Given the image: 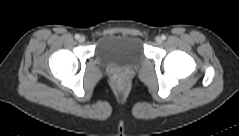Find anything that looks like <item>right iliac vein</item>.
I'll return each mask as SVG.
<instances>
[{
    "mask_svg": "<svg viewBox=\"0 0 239 136\" xmlns=\"http://www.w3.org/2000/svg\"><path fill=\"white\" fill-rule=\"evenodd\" d=\"M79 42H80V43H84V42H85V37H84V36H81V37L79 38Z\"/></svg>",
    "mask_w": 239,
    "mask_h": 136,
    "instance_id": "63e3f726",
    "label": "right iliac vein"
}]
</instances>
